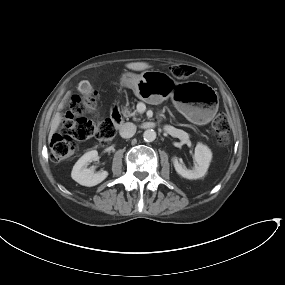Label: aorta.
<instances>
[{
  "label": "aorta",
  "instance_id": "762f6f07",
  "mask_svg": "<svg viewBox=\"0 0 285 285\" xmlns=\"http://www.w3.org/2000/svg\"><path fill=\"white\" fill-rule=\"evenodd\" d=\"M143 138L146 142H152L156 139V132L153 129H147L143 133Z\"/></svg>",
  "mask_w": 285,
  "mask_h": 285
}]
</instances>
